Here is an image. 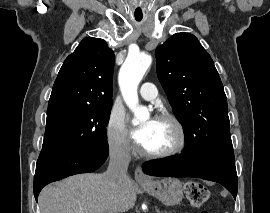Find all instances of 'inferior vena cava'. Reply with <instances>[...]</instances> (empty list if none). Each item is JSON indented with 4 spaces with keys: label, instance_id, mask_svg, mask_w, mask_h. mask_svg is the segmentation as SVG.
Segmentation results:
<instances>
[{
    "label": "inferior vena cava",
    "instance_id": "1",
    "mask_svg": "<svg viewBox=\"0 0 270 213\" xmlns=\"http://www.w3.org/2000/svg\"><path fill=\"white\" fill-rule=\"evenodd\" d=\"M109 157V166L105 175L113 186L120 187L128 178L127 168L131 160L128 144L122 142L117 146L111 147Z\"/></svg>",
    "mask_w": 270,
    "mask_h": 213
}]
</instances>
